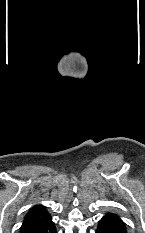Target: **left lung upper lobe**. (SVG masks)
<instances>
[{
  "mask_svg": "<svg viewBox=\"0 0 145 233\" xmlns=\"http://www.w3.org/2000/svg\"><path fill=\"white\" fill-rule=\"evenodd\" d=\"M102 220L111 223L114 227L126 232V224L115 213H107Z\"/></svg>",
  "mask_w": 145,
  "mask_h": 233,
  "instance_id": "left-lung-upper-lobe-1",
  "label": "left lung upper lobe"
}]
</instances>
